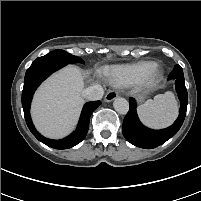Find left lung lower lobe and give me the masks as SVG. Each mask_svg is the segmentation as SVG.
Segmentation results:
<instances>
[{
  "instance_id": "obj_1",
  "label": "left lung lower lobe",
  "mask_w": 201,
  "mask_h": 201,
  "mask_svg": "<svg viewBox=\"0 0 201 201\" xmlns=\"http://www.w3.org/2000/svg\"><path fill=\"white\" fill-rule=\"evenodd\" d=\"M169 79L175 80L176 91L181 102L177 120L166 129H149L139 121L136 113V101L130 98V109L124 118L122 132L125 139L131 144L144 149L155 148L173 137L182 126L186 115L188 96L181 66H174V69L169 75Z\"/></svg>"
}]
</instances>
